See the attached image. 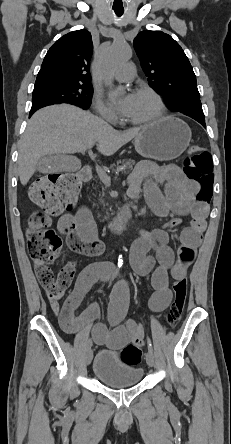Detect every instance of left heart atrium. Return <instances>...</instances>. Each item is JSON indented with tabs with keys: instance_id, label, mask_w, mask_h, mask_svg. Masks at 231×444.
<instances>
[{
	"instance_id": "1",
	"label": "left heart atrium",
	"mask_w": 231,
	"mask_h": 444,
	"mask_svg": "<svg viewBox=\"0 0 231 444\" xmlns=\"http://www.w3.org/2000/svg\"><path fill=\"white\" fill-rule=\"evenodd\" d=\"M113 98V96H112ZM134 100V94H128L123 99H121L117 103L118 110L123 113L124 115H127L131 109L132 103Z\"/></svg>"
}]
</instances>
